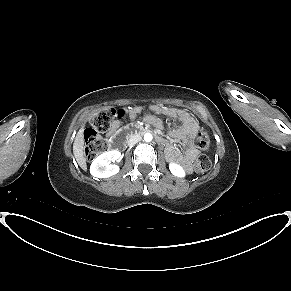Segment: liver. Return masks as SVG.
Returning <instances> with one entry per match:
<instances>
[{"label": "liver", "mask_w": 291, "mask_h": 291, "mask_svg": "<svg viewBox=\"0 0 291 291\" xmlns=\"http://www.w3.org/2000/svg\"><path fill=\"white\" fill-rule=\"evenodd\" d=\"M84 137H83V128H81L74 140L73 143V154L78 163V165L83 169H87L86 159L84 158Z\"/></svg>", "instance_id": "1"}]
</instances>
